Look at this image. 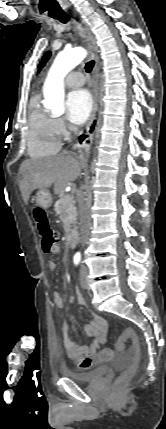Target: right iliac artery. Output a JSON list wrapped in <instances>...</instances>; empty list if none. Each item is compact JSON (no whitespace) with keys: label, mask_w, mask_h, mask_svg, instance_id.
<instances>
[{"label":"right iliac artery","mask_w":166,"mask_h":429,"mask_svg":"<svg viewBox=\"0 0 166 429\" xmlns=\"http://www.w3.org/2000/svg\"><path fill=\"white\" fill-rule=\"evenodd\" d=\"M81 260V255L80 254H76L74 255L73 261L75 265H78L80 263Z\"/></svg>","instance_id":"right-iliac-artery-1"}]
</instances>
